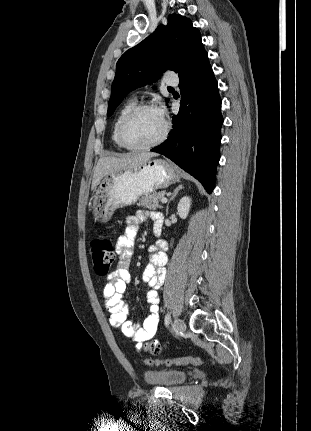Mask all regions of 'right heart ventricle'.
I'll list each match as a JSON object with an SVG mask.
<instances>
[{"instance_id":"obj_1","label":"right heart ventricle","mask_w":311,"mask_h":431,"mask_svg":"<svg viewBox=\"0 0 311 431\" xmlns=\"http://www.w3.org/2000/svg\"><path fill=\"white\" fill-rule=\"evenodd\" d=\"M137 99L135 97H129L127 98L119 107L114 122H113V128H112V141L114 143V145L118 148V149H126L123 144L120 141L119 138V133H118V127H119V123L121 121V119L123 118V116L130 111L133 107H135L137 105Z\"/></svg>"}]
</instances>
